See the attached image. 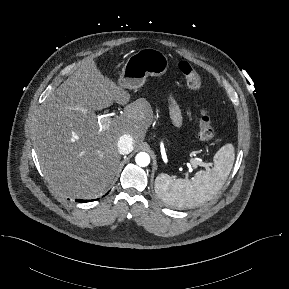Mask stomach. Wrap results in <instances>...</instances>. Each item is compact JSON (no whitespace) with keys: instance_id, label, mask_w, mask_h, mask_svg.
<instances>
[{"instance_id":"obj_1","label":"stomach","mask_w":289,"mask_h":289,"mask_svg":"<svg viewBox=\"0 0 289 289\" xmlns=\"http://www.w3.org/2000/svg\"><path fill=\"white\" fill-rule=\"evenodd\" d=\"M168 68V58L161 50L151 47L142 48L127 59L118 85L126 89H137L145 83L149 75L160 77L167 72Z\"/></svg>"}]
</instances>
